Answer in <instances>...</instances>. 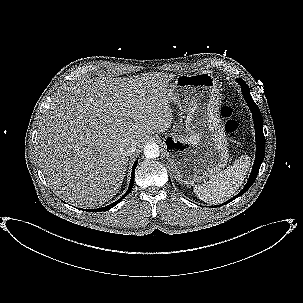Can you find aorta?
Returning <instances> with one entry per match:
<instances>
[{
	"label": "aorta",
	"instance_id": "obj_1",
	"mask_svg": "<svg viewBox=\"0 0 303 303\" xmlns=\"http://www.w3.org/2000/svg\"><path fill=\"white\" fill-rule=\"evenodd\" d=\"M160 150L156 143L150 142L144 146V155L148 159H154L159 157Z\"/></svg>",
	"mask_w": 303,
	"mask_h": 303
}]
</instances>
